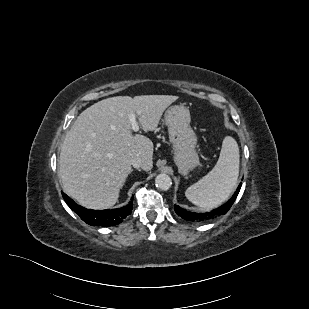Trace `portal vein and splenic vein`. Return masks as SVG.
I'll use <instances>...</instances> for the list:
<instances>
[{
	"instance_id": "obj_1",
	"label": "portal vein and splenic vein",
	"mask_w": 309,
	"mask_h": 309,
	"mask_svg": "<svg viewBox=\"0 0 309 309\" xmlns=\"http://www.w3.org/2000/svg\"><path fill=\"white\" fill-rule=\"evenodd\" d=\"M129 120H130V123H131V128L133 131H138L139 130V125H138V122L136 120V115L135 114H131L129 116Z\"/></svg>"
}]
</instances>
